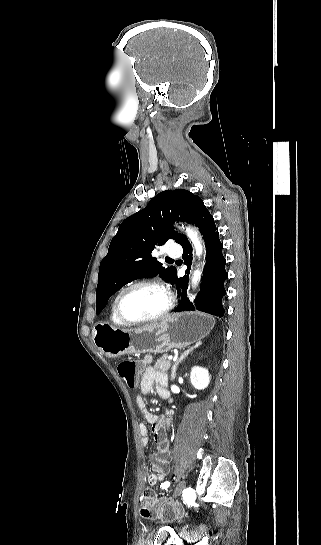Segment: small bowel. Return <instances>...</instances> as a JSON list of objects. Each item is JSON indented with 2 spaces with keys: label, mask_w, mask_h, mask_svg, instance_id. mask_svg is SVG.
Masks as SVG:
<instances>
[{
  "label": "small bowel",
  "mask_w": 321,
  "mask_h": 545,
  "mask_svg": "<svg viewBox=\"0 0 321 545\" xmlns=\"http://www.w3.org/2000/svg\"><path fill=\"white\" fill-rule=\"evenodd\" d=\"M146 362L149 363L150 360L146 359ZM153 387H155L159 396L168 397L167 376L153 367H147L140 380L141 395L137 397L136 404L150 423L152 435L156 442V453L150 457L152 468V473L148 477L150 486H155L165 479L171 459V447L166 436L169 419L159 418L148 412L146 408L145 396L152 391ZM138 430L141 436V445L146 447L149 443L148 428L145 424L141 423L138 426Z\"/></svg>",
  "instance_id": "obj_1"
}]
</instances>
